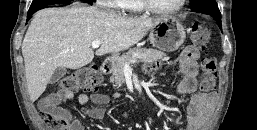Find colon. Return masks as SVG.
Listing matches in <instances>:
<instances>
[{
	"mask_svg": "<svg viewBox=\"0 0 257 130\" xmlns=\"http://www.w3.org/2000/svg\"><path fill=\"white\" fill-rule=\"evenodd\" d=\"M193 42L205 48L210 33L202 25L195 23L191 31ZM202 75L200 79V91L210 93L216 88V61L211 56H204L201 59ZM101 75L96 67H85L75 71L73 74L64 77L58 85V94L66 99L79 89L94 91L101 83ZM40 118L48 130H69V119L52 110H42Z\"/></svg>",
	"mask_w": 257,
	"mask_h": 130,
	"instance_id": "1",
	"label": "colon"
}]
</instances>
